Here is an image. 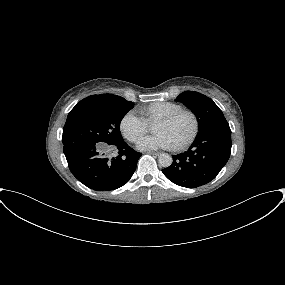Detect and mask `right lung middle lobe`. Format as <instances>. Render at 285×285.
Returning <instances> with one entry per match:
<instances>
[{"label":"right lung middle lobe","instance_id":"1","mask_svg":"<svg viewBox=\"0 0 285 285\" xmlns=\"http://www.w3.org/2000/svg\"><path fill=\"white\" fill-rule=\"evenodd\" d=\"M133 107L131 101L117 95L81 100L68 114L63 128V144L91 142L113 145L123 141L120 122Z\"/></svg>","mask_w":285,"mask_h":285}]
</instances>
